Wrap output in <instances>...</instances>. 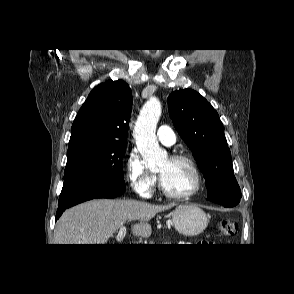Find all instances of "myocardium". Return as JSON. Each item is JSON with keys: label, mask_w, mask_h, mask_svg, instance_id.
Segmentation results:
<instances>
[{"label": "myocardium", "mask_w": 294, "mask_h": 294, "mask_svg": "<svg viewBox=\"0 0 294 294\" xmlns=\"http://www.w3.org/2000/svg\"><path fill=\"white\" fill-rule=\"evenodd\" d=\"M170 161L172 162H184L187 163L190 168L192 169L194 176H195V185L193 187V189L185 194H176V193H172L169 190L166 189V187L163 184V181L161 179V177L159 176V190L160 192L167 198L169 199H173V200H187L191 197H193L194 195H196L202 185H203V177L201 174V171L199 169L198 164L196 163V161L191 158L190 156L184 155V154H176L173 155L169 158Z\"/></svg>", "instance_id": "f54148a6"}]
</instances>
